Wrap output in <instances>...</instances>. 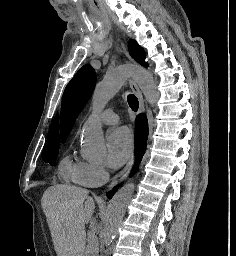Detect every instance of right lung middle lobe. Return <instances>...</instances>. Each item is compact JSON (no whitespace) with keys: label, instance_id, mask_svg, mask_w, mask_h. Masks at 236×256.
<instances>
[{"label":"right lung middle lobe","instance_id":"right-lung-middle-lobe-1","mask_svg":"<svg viewBox=\"0 0 236 256\" xmlns=\"http://www.w3.org/2000/svg\"><path fill=\"white\" fill-rule=\"evenodd\" d=\"M59 142H46L44 149H43V160L46 163L53 165L55 163L58 150H59Z\"/></svg>","mask_w":236,"mask_h":256}]
</instances>
